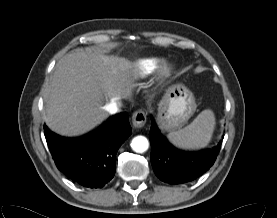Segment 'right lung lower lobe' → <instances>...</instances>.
<instances>
[{"label": "right lung lower lobe", "instance_id": "right-lung-lower-lobe-1", "mask_svg": "<svg viewBox=\"0 0 277 218\" xmlns=\"http://www.w3.org/2000/svg\"><path fill=\"white\" fill-rule=\"evenodd\" d=\"M127 113L110 118L87 137L71 140L45 127V137L57 168L76 183L102 188L114 176L116 153L131 135Z\"/></svg>", "mask_w": 277, "mask_h": 218}]
</instances>
